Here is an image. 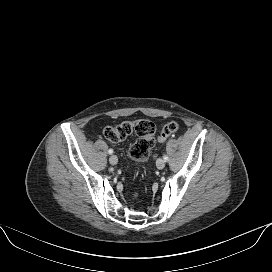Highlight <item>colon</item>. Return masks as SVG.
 Returning a JSON list of instances; mask_svg holds the SVG:
<instances>
[{"label":"colon","mask_w":272,"mask_h":272,"mask_svg":"<svg viewBox=\"0 0 272 272\" xmlns=\"http://www.w3.org/2000/svg\"><path fill=\"white\" fill-rule=\"evenodd\" d=\"M178 129L179 125L176 121L166 123L158 136V141H165ZM155 132L156 127L153 122L147 119H138L124 121L116 126H107L103 134L108 141L118 143L124 141L132 133H135L138 138L130 147L129 154L134 160L142 162L149 157L155 145Z\"/></svg>","instance_id":"obj_1"}]
</instances>
